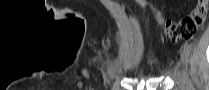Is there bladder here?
<instances>
[{
  "instance_id": "bladder-1",
  "label": "bladder",
  "mask_w": 209,
  "mask_h": 90,
  "mask_svg": "<svg viewBox=\"0 0 209 90\" xmlns=\"http://www.w3.org/2000/svg\"><path fill=\"white\" fill-rule=\"evenodd\" d=\"M148 63L150 65H152V69L155 71L154 73L150 74V76H152V77L158 76V73L156 72L157 71V66L155 65L154 61L153 60H148Z\"/></svg>"
}]
</instances>
